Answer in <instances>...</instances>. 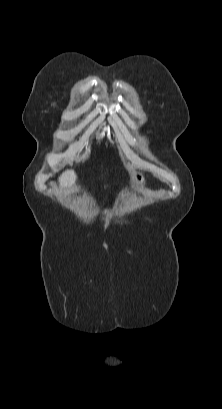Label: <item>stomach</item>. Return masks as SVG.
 Masks as SVG:
<instances>
[{
	"label": "stomach",
	"instance_id": "obj_1",
	"mask_svg": "<svg viewBox=\"0 0 222 409\" xmlns=\"http://www.w3.org/2000/svg\"><path fill=\"white\" fill-rule=\"evenodd\" d=\"M130 185L134 190L142 191L146 186V179L140 171L131 174Z\"/></svg>",
	"mask_w": 222,
	"mask_h": 409
}]
</instances>
